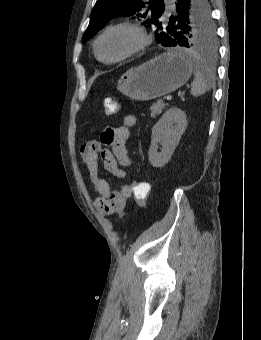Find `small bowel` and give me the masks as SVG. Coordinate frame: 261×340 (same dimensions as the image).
Returning <instances> with one entry per match:
<instances>
[{
	"mask_svg": "<svg viewBox=\"0 0 261 340\" xmlns=\"http://www.w3.org/2000/svg\"><path fill=\"white\" fill-rule=\"evenodd\" d=\"M136 124L134 115H125L122 123L102 131L99 140H92L81 145L80 155L88 170L90 181L98 197L94 205L105 215L121 213L132 196L131 185L124 184L118 190L100 175L99 160L106 171L120 179H127L125 168L131 165L126 149L129 129ZM106 146H110L111 149Z\"/></svg>",
	"mask_w": 261,
	"mask_h": 340,
	"instance_id": "1",
	"label": "small bowel"
}]
</instances>
